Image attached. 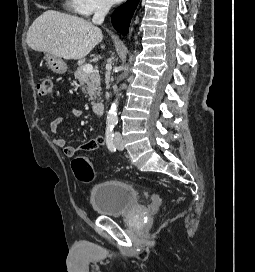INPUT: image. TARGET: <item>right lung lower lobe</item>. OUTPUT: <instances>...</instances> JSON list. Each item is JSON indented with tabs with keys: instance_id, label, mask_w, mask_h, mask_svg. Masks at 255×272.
Returning <instances> with one entry per match:
<instances>
[{
	"instance_id": "obj_1",
	"label": "right lung lower lobe",
	"mask_w": 255,
	"mask_h": 272,
	"mask_svg": "<svg viewBox=\"0 0 255 272\" xmlns=\"http://www.w3.org/2000/svg\"><path fill=\"white\" fill-rule=\"evenodd\" d=\"M139 3V0H128L115 10L112 15V24L116 31L122 34H127L130 20Z\"/></svg>"
}]
</instances>
